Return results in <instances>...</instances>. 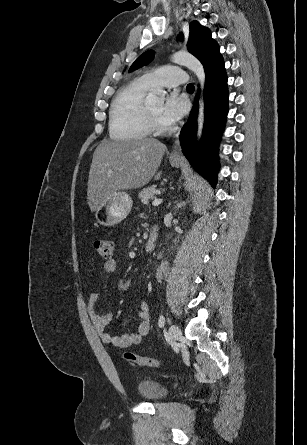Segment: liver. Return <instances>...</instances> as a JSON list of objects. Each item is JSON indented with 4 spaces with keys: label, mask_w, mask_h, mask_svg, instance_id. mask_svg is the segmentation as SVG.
<instances>
[{
    "label": "liver",
    "mask_w": 307,
    "mask_h": 445,
    "mask_svg": "<svg viewBox=\"0 0 307 445\" xmlns=\"http://www.w3.org/2000/svg\"><path fill=\"white\" fill-rule=\"evenodd\" d=\"M167 150L156 138L119 140L103 138L94 150L89 176L87 198L90 210L95 212L104 200L118 190L140 188L162 172L156 170Z\"/></svg>",
    "instance_id": "1"
}]
</instances>
